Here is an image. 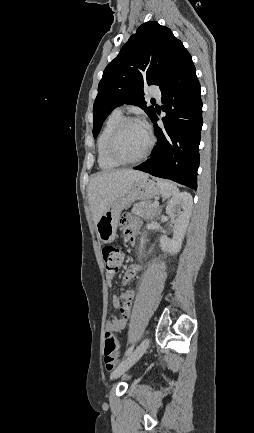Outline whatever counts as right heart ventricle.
Here are the masks:
<instances>
[{"instance_id":"obj_1","label":"right heart ventricle","mask_w":254,"mask_h":433,"mask_svg":"<svg viewBox=\"0 0 254 433\" xmlns=\"http://www.w3.org/2000/svg\"><path fill=\"white\" fill-rule=\"evenodd\" d=\"M123 118L120 112H112L107 118L102 131L97 140V161L98 165L102 170H113L117 168L119 165L113 162L107 155L106 147L108 138L115 128V126L119 123V121Z\"/></svg>"}]
</instances>
